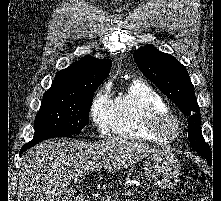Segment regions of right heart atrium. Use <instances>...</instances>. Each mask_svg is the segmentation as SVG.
I'll use <instances>...</instances> for the list:
<instances>
[{
    "label": "right heart atrium",
    "instance_id": "obj_1",
    "mask_svg": "<svg viewBox=\"0 0 221 201\" xmlns=\"http://www.w3.org/2000/svg\"><path fill=\"white\" fill-rule=\"evenodd\" d=\"M113 99L108 84L102 86L94 95L89 115L97 131L101 135H107L112 128Z\"/></svg>",
    "mask_w": 221,
    "mask_h": 201
}]
</instances>
